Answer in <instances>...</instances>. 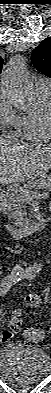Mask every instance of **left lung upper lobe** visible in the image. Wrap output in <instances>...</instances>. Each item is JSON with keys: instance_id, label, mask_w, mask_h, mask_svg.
I'll use <instances>...</instances> for the list:
<instances>
[{"instance_id": "1", "label": "left lung upper lobe", "mask_w": 51, "mask_h": 393, "mask_svg": "<svg viewBox=\"0 0 51 393\" xmlns=\"http://www.w3.org/2000/svg\"><path fill=\"white\" fill-rule=\"evenodd\" d=\"M32 62L35 68L51 78V37L44 39L32 51Z\"/></svg>"}]
</instances>
